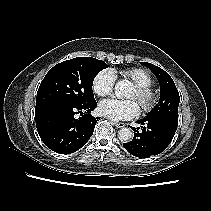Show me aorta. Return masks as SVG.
Here are the masks:
<instances>
[{
    "mask_svg": "<svg viewBox=\"0 0 211 211\" xmlns=\"http://www.w3.org/2000/svg\"><path fill=\"white\" fill-rule=\"evenodd\" d=\"M130 90V83L128 81H119L115 86V94L118 98L126 96ZM133 131L130 128H122L118 131V138L121 142H130L133 138Z\"/></svg>",
    "mask_w": 211,
    "mask_h": 211,
    "instance_id": "762f6f07",
    "label": "aorta"
}]
</instances>
